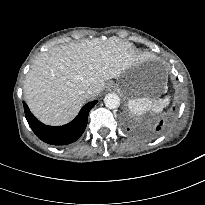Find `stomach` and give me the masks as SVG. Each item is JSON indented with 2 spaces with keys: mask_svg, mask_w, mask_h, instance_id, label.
<instances>
[{
  "mask_svg": "<svg viewBox=\"0 0 205 205\" xmlns=\"http://www.w3.org/2000/svg\"><path fill=\"white\" fill-rule=\"evenodd\" d=\"M115 85L125 97L156 99L164 91L166 81L146 79L142 67L136 65L124 72Z\"/></svg>",
  "mask_w": 205,
  "mask_h": 205,
  "instance_id": "obj_1",
  "label": "stomach"
}]
</instances>
